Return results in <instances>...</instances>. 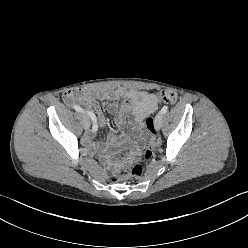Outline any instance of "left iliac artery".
I'll return each instance as SVG.
<instances>
[{
  "instance_id": "1",
  "label": "left iliac artery",
  "mask_w": 248,
  "mask_h": 248,
  "mask_svg": "<svg viewBox=\"0 0 248 248\" xmlns=\"http://www.w3.org/2000/svg\"><path fill=\"white\" fill-rule=\"evenodd\" d=\"M168 111V107L167 106H163V108L161 109V112L163 114H165Z\"/></svg>"
}]
</instances>
